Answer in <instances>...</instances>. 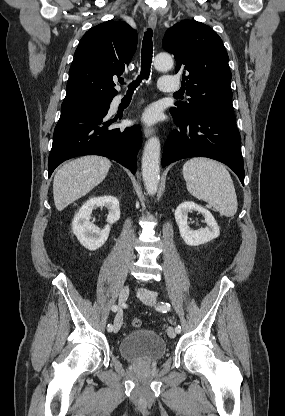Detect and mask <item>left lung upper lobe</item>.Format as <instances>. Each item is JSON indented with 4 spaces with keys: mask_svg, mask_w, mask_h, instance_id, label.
<instances>
[{
    "mask_svg": "<svg viewBox=\"0 0 285 416\" xmlns=\"http://www.w3.org/2000/svg\"><path fill=\"white\" fill-rule=\"evenodd\" d=\"M174 54L176 73L182 74L187 102H177L170 112L186 121L204 112L233 113L231 72L221 38L209 26L184 20L168 29L162 42Z\"/></svg>",
    "mask_w": 285,
    "mask_h": 416,
    "instance_id": "left-lung-upper-lobe-1",
    "label": "left lung upper lobe"
}]
</instances>
